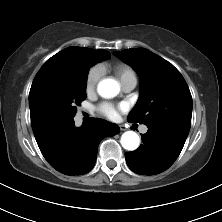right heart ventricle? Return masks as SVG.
I'll list each match as a JSON object with an SVG mask.
<instances>
[{"label":"right heart ventricle","mask_w":222,"mask_h":222,"mask_svg":"<svg viewBox=\"0 0 222 222\" xmlns=\"http://www.w3.org/2000/svg\"><path fill=\"white\" fill-rule=\"evenodd\" d=\"M111 70L119 79L120 83H124L129 80L136 81V73L132 67L124 63H117L111 67Z\"/></svg>","instance_id":"e07e8e85"}]
</instances>
